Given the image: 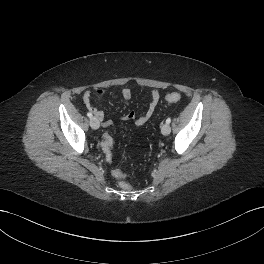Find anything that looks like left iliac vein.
Segmentation results:
<instances>
[{"label":"left iliac vein","mask_w":264,"mask_h":264,"mask_svg":"<svg viewBox=\"0 0 264 264\" xmlns=\"http://www.w3.org/2000/svg\"><path fill=\"white\" fill-rule=\"evenodd\" d=\"M161 132L163 135H168L171 132V127L168 123H165L161 127Z\"/></svg>","instance_id":"left-iliac-vein-1"}]
</instances>
